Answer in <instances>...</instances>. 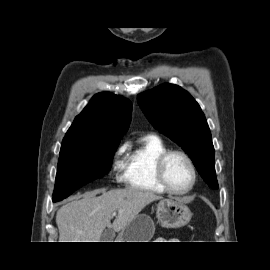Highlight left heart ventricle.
Wrapping results in <instances>:
<instances>
[{"mask_svg":"<svg viewBox=\"0 0 270 270\" xmlns=\"http://www.w3.org/2000/svg\"><path fill=\"white\" fill-rule=\"evenodd\" d=\"M166 176L169 184L177 190L186 189L192 181V172L186 160L173 155L166 164Z\"/></svg>","mask_w":270,"mask_h":270,"instance_id":"1","label":"left heart ventricle"}]
</instances>
